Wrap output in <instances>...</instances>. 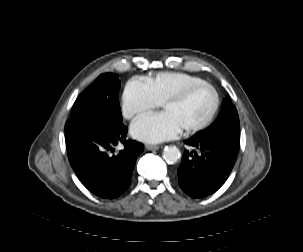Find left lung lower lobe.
Returning <instances> with one entry per match:
<instances>
[{
  "mask_svg": "<svg viewBox=\"0 0 303 252\" xmlns=\"http://www.w3.org/2000/svg\"><path fill=\"white\" fill-rule=\"evenodd\" d=\"M200 150L185 151L178 169L179 185L191 197L199 198L216 191L228 177L239 146L191 138L185 142Z\"/></svg>",
  "mask_w": 303,
  "mask_h": 252,
  "instance_id": "1",
  "label": "left lung lower lobe"
}]
</instances>
